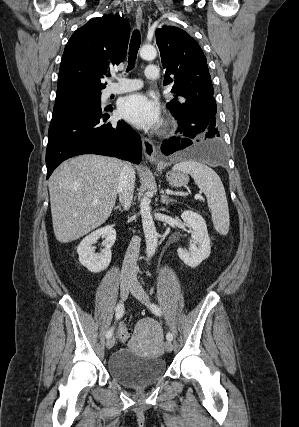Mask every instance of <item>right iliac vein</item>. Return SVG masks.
Segmentation results:
<instances>
[{
    "label": "right iliac vein",
    "mask_w": 299,
    "mask_h": 427,
    "mask_svg": "<svg viewBox=\"0 0 299 427\" xmlns=\"http://www.w3.org/2000/svg\"><path fill=\"white\" fill-rule=\"evenodd\" d=\"M131 286V281L125 277H122L120 279V294H121V298L122 300H126L129 294V289ZM115 344V337H110L108 338L107 342H106V348L107 349H111L113 348Z\"/></svg>",
    "instance_id": "obj_1"
}]
</instances>
